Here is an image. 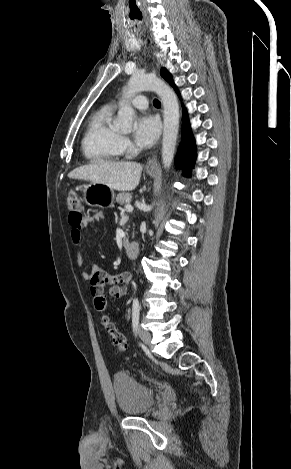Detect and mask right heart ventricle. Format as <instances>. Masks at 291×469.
Wrapping results in <instances>:
<instances>
[{"label":"right heart ventricle","mask_w":291,"mask_h":469,"mask_svg":"<svg viewBox=\"0 0 291 469\" xmlns=\"http://www.w3.org/2000/svg\"><path fill=\"white\" fill-rule=\"evenodd\" d=\"M113 107L105 105L90 118L82 139V152L92 162H109L123 153L121 134L112 124Z\"/></svg>","instance_id":"1"}]
</instances>
